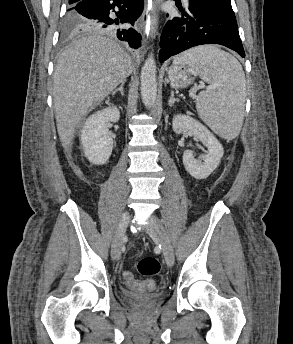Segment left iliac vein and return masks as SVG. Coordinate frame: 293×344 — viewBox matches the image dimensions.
<instances>
[{
    "mask_svg": "<svg viewBox=\"0 0 293 344\" xmlns=\"http://www.w3.org/2000/svg\"><path fill=\"white\" fill-rule=\"evenodd\" d=\"M146 232L151 238L157 239L160 242L167 265L170 267L173 266L175 257L171 241L162 225V222L155 215L150 216Z\"/></svg>",
    "mask_w": 293,
    "mask_h": 344,
    "instance_id": "1",
    "label": "left iliac vein"
}]
</instances>
